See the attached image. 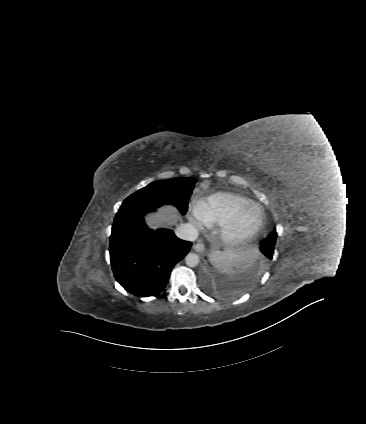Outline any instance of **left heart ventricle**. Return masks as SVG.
Here are the masks:
<instances>
[{"instance_id":"b2bd125f","label":"left heart ventricle","mask_w":366,"mask_h":424,"mask_svg":"<svg viewBox=\"0 0 366 424\" xmlns=\"http://www.w3.org/2000/svg\"><path fill=\"white\" fill-rule=\"evenodd\" d=\"M257 220V211L256 209L252 208L249 209L242 217L240 225H239V230L241 232H248L249 230H251Z\"/></svg>"}]
</instances>
